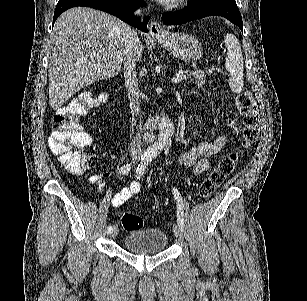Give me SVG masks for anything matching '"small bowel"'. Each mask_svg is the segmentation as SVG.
Here are the masks:
<instances>
[{
    "instance_id": "small-bowel-1",
    "label": "small bowel",
    "mask_w": 307,
    "mask_h": 301,
    "mask_svg": "<svg viewBox=\"0 0 307 301\" xmlns=\"http://www.w3.org/2000/svg\"><path fill=\"white\" fill-rule=\"evenodd\" d=\"M225 143L224 136H219L213 142H201L194 146L188 152L183 153L179 161L185 165L192 167L194 172L201 174L206 172L210 163L208 158L218 153ZM91 184H98V190L100 192L104 191V184L101 182V177L99 174H93L89 178ZM141 186L138 182H132L129 186L123 188L117 194L114 195L112 199V206L119 207L125 204L129 199L139 193ZM89 191L93 193V188L89 187Z\"/></svg>"
}]
</instances>
